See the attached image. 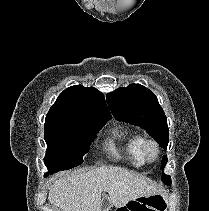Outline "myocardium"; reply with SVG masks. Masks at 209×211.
Instances as JSON below:
<instances>
[{"label": "myocardium", "mask_w": 209, "mask_h": 211, "mask_svg": "<svg viewBox=\"0 0 209 211\" xmlns=\"http://www.w3.org/2000/svg\"><path fill=\"white\" fill-rule=\"evenodd\" d=\"M142 153L146 161L155 162L160 157V147L156 141L147 139L143 142Z\"/></svg>", "instance_id": "1"}]
</instances>
